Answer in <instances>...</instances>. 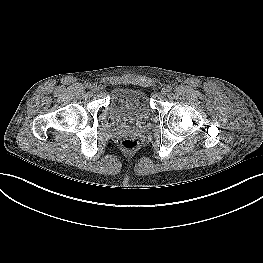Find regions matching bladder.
Segmentation results:
<instances>
[{"label": "bladder", "mask_w": 263, "mask_h": 263, "mask_svg": "<svg viewBox=\"0 0 263 263\" xmlns=\"http://www.w3.org/2000/svg\"><path fill=\"white\" fill-rule=\"evenodd\" d=\"M108 113L117 125H140L151 117V108L142 90L118 87L111 93Z\"/></svg>", "instance_id": "obj_1"}]
</instances>
